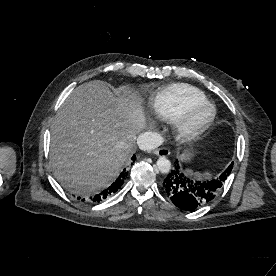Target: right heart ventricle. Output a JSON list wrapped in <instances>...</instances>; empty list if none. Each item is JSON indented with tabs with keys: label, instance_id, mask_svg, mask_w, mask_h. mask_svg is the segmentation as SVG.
Instances as JSON below:
<instances>
[{
	"label": "right heart ventricle",
	"instance_id": "1",
	"mask_svg": "<svg viewBox=\"0 0 276 276\" xmlns=\"http://www.w3.org/2000/svg\"><path fill=\"white\" fill-rule=\"evenodd\" d=\"M202 100H206V96L199 89L188 84H172L154 95L152 109L160 119L174 123L190 104Z\"/></svg>",
	"mask_w": 276,
	"mask_h": 276
}]
</instances>
